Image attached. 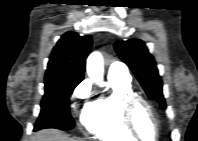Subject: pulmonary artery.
I'll return each instance as SVG.
<instances>
[{
  "label": "pulmonary artery",
  "mask_w": 198,
  "mask_h": 141,
  "mask_svg": "<svg viewBox=\"0 0 198 141\" xmlns=\"http://www.w3.org/2000/svg\"><path fill=\"white\" fill-rule=\"evenodd\" d=\"M108 79L130 82V75L122 64L113 63L108 70Z\"/></svg>",
  "instance_id": "e3ab8cb5"
}]
</instances>
